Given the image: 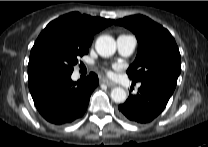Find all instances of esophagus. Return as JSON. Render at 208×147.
Listing matches in <instances>:
<instances>
[{"mask_svg": "<svg viewBox=\"0 0 208 147\" xmlns=\"http://www.w3.org/2000/svg\"><path fill=\"white\" fill-rule=\"evenodd\" d=\"M102 82H103L104 84H106L107 86H109V87H115V86L117 85V84L114 83L113 81L108 80V79H106V78H103V79H102Z\"/></svg>", "mask_w": 208, "mask_h": 147, "instance_id": "obj_1", "label": "esophagus"}]
</instances>
